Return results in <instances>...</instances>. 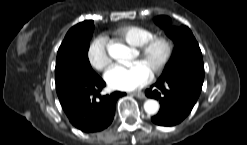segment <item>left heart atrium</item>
<instances>
[{
	"label": "left heart atrium",
	"instance_id": "1",
	"mask_svg": "<svg viewBox=\"0 0 247 145\" xmlns=\"http://www.w3.org/2000/svg\"><path fill=\"white\" fill-rule=\"evenodd\" d=\"M107 84L117 90L130 91L150 82L152 72L141 62L131 65H114L105 73Z\"/></svg>",
	"mask_w": 247,
	"mask_h": 145
}]
</instances>
